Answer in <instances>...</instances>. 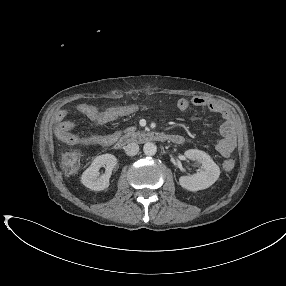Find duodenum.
<instances>
[{
  "mask_svg": "<svg viewBox=\"0 0 286 286\" xmlns=\"http://www.w3.org/2000/svg\"><path fill=\"white\" fill-rule=\"evenodd\" d=\"M150 141H159V142L169 141L175 144H183L184 138L181 135L170 134L165 132H156V131L133 132L116 139L114 142V147L116 149H121L125 145L131 142H150Z\"/></svg>",
  "mask_w": 286,
  "mask_h": 286,
  "instance_id": "duodenum-1",
  "label": "duodenum"
}]
</instances>
